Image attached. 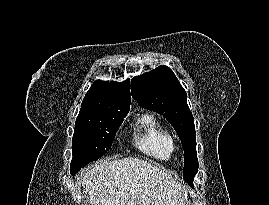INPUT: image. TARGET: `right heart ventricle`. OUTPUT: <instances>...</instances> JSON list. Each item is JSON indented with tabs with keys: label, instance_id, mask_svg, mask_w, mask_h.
Returning a JSON list of instances; mask_svg holds the SVG:
<instances>
[{
	"label": "right heart ventricle",
	"instance_id": "right-heart-ventricle-1",
	"mask_svg": "<svg viewBox=\"0 0 269 205\" xmlns=\"http://www.w3.org/2000/svg\"><path fill=\"white\" fill-rule=\"evenodd\" d=\"M133 144L139 152L157 161L170 160L175 148L171 132L151 114H143L137 119Z\"/></svg>",
	"mask_w": 269,
	"mask_h": 205
}]
</instances>
